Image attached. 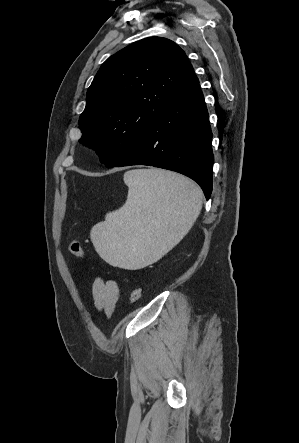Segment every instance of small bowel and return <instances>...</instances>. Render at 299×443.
<instances>
[{"label": "small bowel", "mask_w": 299, "mask_h": 443, "mask_svg": "<svg viewBox=\"0 0 299 443\" xmlns=\"http://www.w3.org/2000/svg\"><path fill=\"white\" fill-rule=\"evenodd\" d=\"M121 289L112 279L105 280L98 276L92 283V296L95 308L110 317L119 301Z\"/></svg>", "instance_id": "1"}]
</instances>
